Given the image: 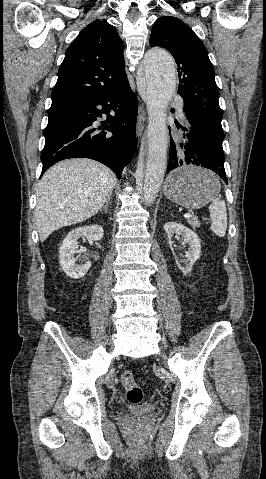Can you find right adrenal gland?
Wrapping results in <instances>:
<instances>
[{"label":"right adrenal gland","instance_id":"right-adrenal-gland-1","mask_svg":"<svg viewBox=\"0 0 266 479\" xmlns=\"http://www.w3.org/2000/svg\"><path fill=\"white\" fill-rule=\"evenodd\" d=\"M109 203H110V198L107 200L105 206L101 209V211H104L105 213H107V210L109 208Z\"/></svg>","mask_w":266,"mask_h":479}]
</instances>
